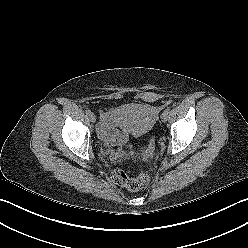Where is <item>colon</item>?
I'll list each match as a JSON object with an SVG mask.
<instances>
[{"instance_id": "5ec220e1", "label": "colon", "mask_w": 248, "mask_h": 248, "mask_svg": "<svg viewBox=\"0 0 248 248\" xmlns=\"http://www.w3.org/2000/svg\"><path fill=\"white\" fill-rule=\"evenodd\" d=\"M153 142H151L149 148H153ZM112 179L117 185L126 187L131 191H138L144 188L148 182L149 177L144 172H139L135 175H129L126 171L116 170L112 174Z\"/></svg>"}]
</instances>
